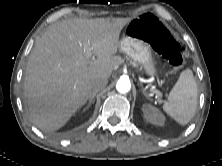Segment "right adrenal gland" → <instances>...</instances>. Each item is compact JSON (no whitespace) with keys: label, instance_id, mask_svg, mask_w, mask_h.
Returning a JSON list of instances; mask_svg holds the SVG:
<instances>
[{"label":"right adrenal gland","instance_id":"1","mask_svg":"<svg viewBox=\"0 0 222 166\" xmlns=\"http://www.w3.org/2000/svg\"><path fill=\"white\" fill-rule=\"evenodd\" d=\"M96 93H92L90 97L88 98L87 105L83 108V112L91 107V105L94 103Z\"/></svg>","mask_w":222,"mask_h":166}]
</instances>
